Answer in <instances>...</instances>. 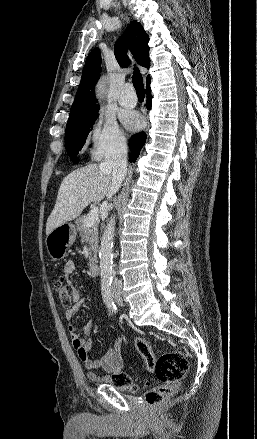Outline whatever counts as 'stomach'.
Instances as JSON below:
<instances>
[{
	"instance_id": "stomach-1",
	"label": "stomach",
	"mask_w": 257,
	"mask_h": 439,
	"mask_svg": "<svg viewBox=\"0 0 257 439\" xmlns=\"http://www.w3.org/2000/svg\"><path fill=\"white\" fill-rule=\"evenodd\" d=\"M76 228L72 223L66 222L56 227L46 237V249L52 260H61L76 239Z\"/></svg>"
}]
</instances>
